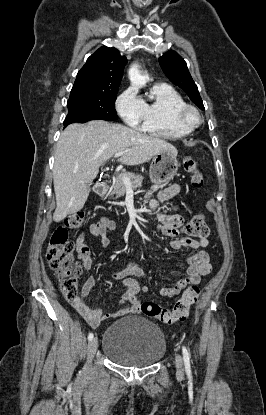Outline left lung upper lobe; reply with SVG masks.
I'll return each instance as SVG.
<instances>
[{
  "label": "left lung upper lobe",
  "mask_w": 266,
  "mask_h": 415,
  "mask_svg": "<svg viewBox=\"0 0 266 415\" xmlns=\"http://www.w3.org/2000/svg\"><path fill=\"white\" fill-rule=\"evenodd\" d=\"M159 63L169 80L183 89L200 109L205 110L197 85L184 59L177 52L170 50L159 58Z\"/></svg>",
  "instance_id": "1"
}]
</instances>
